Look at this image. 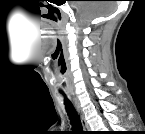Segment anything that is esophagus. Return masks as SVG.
<instances>
[{"label": "esophagus", "instance_id": "obj_1", "mask_svg": "<svg viewBox=\"0 0 145 134\" xmlns=\"http://www.w3.org/2000/svg\"><path fill=\"white\" fill-rule=\"evenodd\" d=\"M75 105H76V108H77V111L80 115V121H81V124H82V127H83V130L84 131H89V126H88V123L84 117V115L82 114L81 112V109H80V106L79 104L75 101Z\"/></svg>", "mask_w": 145, "mask_h": 134}]
</instances>
